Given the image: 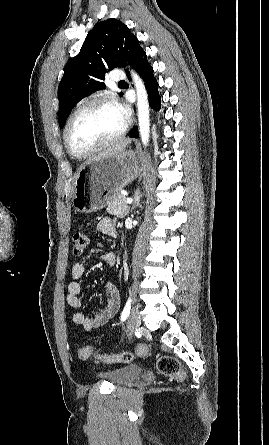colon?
Returning a JSON list of instances; mask_svg holds the SVG:
<instances>
[{
    "label": "colon",
    "instance_id": "5ec220e1",
    "mask_svg": "<svg viewBox=\"0 0 269 445\" xmlns=\"http://www.w3.org/2000/svg\"><path fill=\"white\" fill-rule=\"evenodd\" d=\"M89 244V235L85 231H78L73 236V252L75 255H81ZM138 353L145 355L147 348L143 345L139 346ZM95 357L103 363H129L134 360V354L130 351L121 353H102L96 351L91 346H83L78 351V357L80 359H87L89 357ZM157 370L160 374L169 377H183V372L179 361L172 356H161L156 362Z\"/></svg>",
    "mask_w": 269,
    "mask_h": 445
}]
</instances>
